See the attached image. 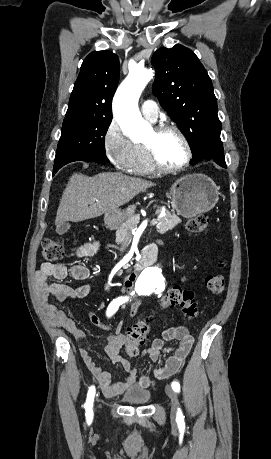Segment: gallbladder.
I'll return each instance as SVG.
<instances>
[{"mask_svg": "<svg viewBox=\"0 0 271 459\" xmlns=\"http://www.w3.org/2000/svg\"><path fill=\"white\" fill-rule=\"evenodd\" d=\"M67 229H70V224H66V222H61V224H57L56 226V233L62 235V233H65Z\"/></svg>", "mask_w": 271, "mask_h": 459, "instance_id": "gallbladder-1", "label": "gallbladder"}]
</instances>
